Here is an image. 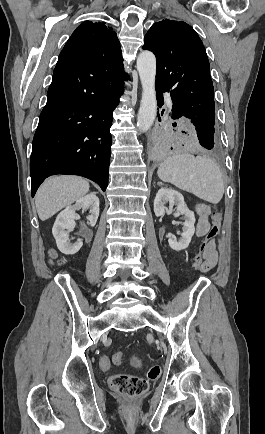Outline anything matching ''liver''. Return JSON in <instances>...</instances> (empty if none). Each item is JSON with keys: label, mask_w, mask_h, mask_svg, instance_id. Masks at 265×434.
<instances>
[{"label": "liver", "mask_w": 265, "mask_h": 434, "mask_svg": "<svg viewBox=\"0 0 265 434\" xmlns=\"http://www.w3.org/2000/svg\"><path fill=\"white\" fill-rule=\"evenodd\" d=\"M89 192V184L78 176H51L43 182L35 196L37 214L44 222L65 206H70Z\"/></svg>", "instance_id": "liver-1"}]
</instances>
